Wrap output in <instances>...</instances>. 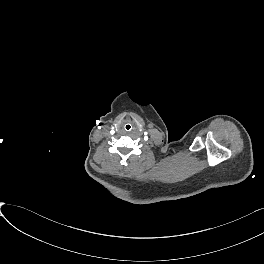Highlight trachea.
<instances>
[{
	"instance_id": "obj_1",
	"label": "trachea",
	"mask_w": 264,
	"mask_h": 264,
	"mask_svg": "<svg viewBox=\"0 0 264 264\" xmlns=\"http://www.w3.org/2000/svg\"><path fill=\"white\" fill-rule=\"evenodd\" d=\"M132 129H133V125H132V123H130V122H125V123L123 124V130H124L125 132H130Z\"/></svg>"
}]
</instances>
